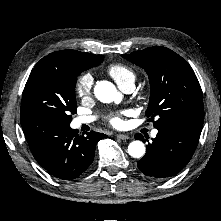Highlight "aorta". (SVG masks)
<instances>
[{
	"instance_id": "1",
	"label": "aorta",
	"mask_w": 221,
	"mask_h": 221,
	"mask_svg": "<svg viewBox=\"0 0 221 221\" xmlns=\"http://www.w3.org/2000/svg\"><path fill=\"white\" fill-rule=\"evenodd\" d=\"M94 94L96 98L103 103H111L119 98V92L109 81L97 82L94 88ZM145 151V145L139 140L132 141L128 146V153L133 158L143 157Z\"/></svg>"
}]
</instances>
